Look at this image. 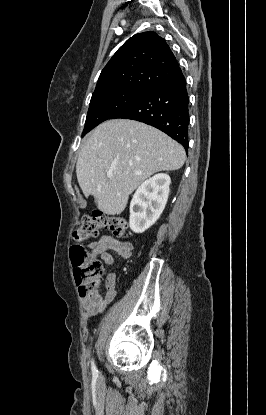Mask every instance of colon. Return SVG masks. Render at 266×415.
I'll return each instance as SVG.
<instances>
[{
  "label": "colon",
  "mask_w": 266,
  "mask_h": 415,
  "mask_svg": "<svg viewBox=\"0 0 266 415\" xmlns=\"http://www.w3.org/2000/svg\"><path fill=\"white\" fill-rule=\"evenodd\" d=\"M100 229H107L117 237H124L127 223L122 218L108 216L100 211L83 216L73 232L75 244L71 247L70 255L80 292L104 297L100 292L103 265L81 244L85 239L96 237Z\"/></svg>",
  "instance_id": "5ec220e1"
}]
</instances>
